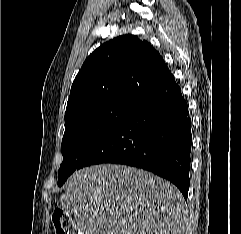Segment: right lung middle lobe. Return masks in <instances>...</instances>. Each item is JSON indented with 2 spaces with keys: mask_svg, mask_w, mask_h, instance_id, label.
<instances>
[{
  "mask_svg": "<svg viewBox=\"0 0 241 234\" xmlns=\"http://www.w3.org/2000/svg\"><path fill=\"white\" fill-rule=\"evenodd\" d=\"M133 106L130 102L108 101L85 106L65 115V133L61 144L63 162L58 171V186L80 168V163L89 151Z\"/></svg>",
  "mask_w": 241,
  "mask_h": 234,
  "instance_id": "obj_1",
  "label": "right lung middle lobe"
}]
</instances>
